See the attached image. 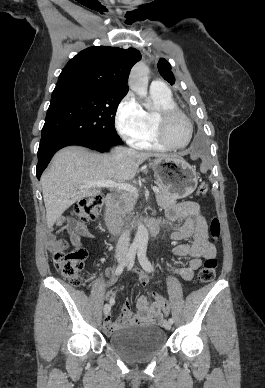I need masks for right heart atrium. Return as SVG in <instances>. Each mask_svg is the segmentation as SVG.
<instances>
[{"label":"right heart atrium","mask_w":265,"mask_h":388,"mask_svg":"<svg viewBox=\"0 0 265 388\" xmlns=\"http://www.w3.org/2000/svg\"><path fill=\"white\" fill-rule=\"evenodd\" d=\"M117 124L124 139L133 141L145 130V111L133 94H128L117 111Z\"/></svg>","instance_id":"d8ad5b80"}]
</instances>
